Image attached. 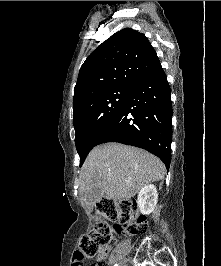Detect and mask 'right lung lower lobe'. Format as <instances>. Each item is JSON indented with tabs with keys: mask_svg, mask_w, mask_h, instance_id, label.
Instances as JSON below:
<instances>
[{
	"mask_svg": "<svg viewBox=\"0 0 221 266\" xmlns=\"http://www.w3.org/2000/svg\"><path fill=\"white\" fill-rule=\"evenodd\" d=\"M172 114L171 89L160 66L132 87L123 109L96 145L119 142L140 147L158 156L169 168Z\"/></svg>",
	"mask_w": 221,
	"mask_h": 266,
	"instance_id": "1",
	"label": "right lung lower lobe"
}]
</instances>
